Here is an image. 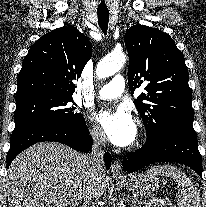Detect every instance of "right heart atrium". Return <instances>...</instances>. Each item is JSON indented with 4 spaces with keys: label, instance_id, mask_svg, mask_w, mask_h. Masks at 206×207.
Returning <instances> with one entry per match:
<instances>
[{
    "label": "right heart atrium",
    "instance_id": "1",
    "mask_svg": "<svg viewBox=\"0 0 206 207\" xmlns=\"http://www.w3.org/2000/svg\"><path fill=\"white\" fill-rule=\"evenodd\" d=\"M89 133L93 142L96 145L102 146L105 144V137L98 127H96L95 125H91L89 128Z\"/></svg>",
    "mask_w": 206,
    "mask_h": 207
}]
</instances>
